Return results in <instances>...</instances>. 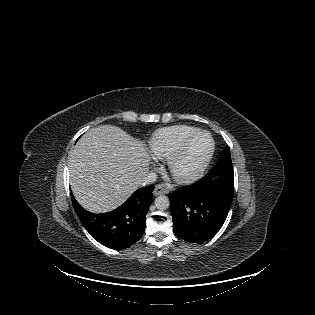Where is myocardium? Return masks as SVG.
<instances>
[{
    "mask_svg": "<svg viewBox=\"0 0 315 315\" xmlns=\"http://www.w3.org/2000/svg\"><path fill=\"white\" fill-rule=\"evenodd\" d=\"M199 135H206L209 138L210 147L206 156L204 157L202 162L194 169H191L189 171H180L178 169L179 161L185 155L190 143L194 140V138H196ZM214 150L215 143L212 135L205 130H197L194 133L190 134L188 137H186L183 140V142L179 145V147L168 157L167 159L168 170L171 173V175L181 183L193 182L200 178L207 170L214 155Z\"/></svg>",
    "mask_w": 315,
    "mask_h": 315,
    "instance_id": "f54148a6",
    "label": "myocardium"
}]
</instances>
